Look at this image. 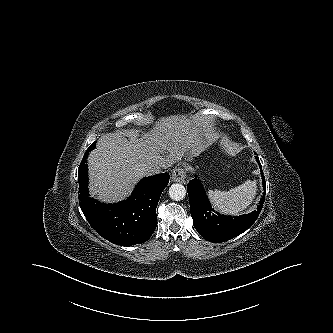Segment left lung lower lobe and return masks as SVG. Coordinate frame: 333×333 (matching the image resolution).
I'll return each mask as SVG.
<instances>
[{
  "label": "left lung lower lobe",
  "mask_w": 333,
  "mask_h": 333,
  "mask_svg": "<svg viewBox=\"0 0 333 333\" xmlns=\"http://www.w3.org/2000/svg\"><path fill=\"white\" fill-rule=\"evenodd\" d=\"M256 160L260 168H262L257 157ZM261 175L263 177L264 194L259 201L257 210L250 214L233 217L213 213L200 180L193 179L188 183L187 191L193 224L205 240L209 242H224L240 235L252 226L259 216L265 200L266 183L262 170Z\"/></svg>",
  "instance_id": "obj_1"
}]
</instances>
